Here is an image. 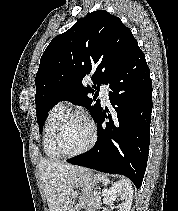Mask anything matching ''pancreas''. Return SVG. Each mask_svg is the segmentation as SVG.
I'll use <instances>...</instances> for the list:
<instances>
[{"mask_svg":"<svg viewBox=\"0 0 178 211\" xmlns=\"http://www.w3.org/2000/svg\"><path fill=\"white\" fill-rule=\"evenodd\" d=\"M100 204V196L98 194H92L86 201L84 208L87 211H96Z\"/></svg>","mask_w":178,"mask_h":211,"instance_id":"pancreas-1","label":"pancreas"}]
</instances>
